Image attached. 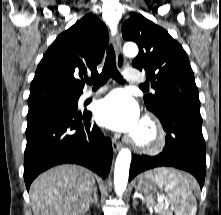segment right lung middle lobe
<instances>
[{
	"instance_id": "right-lung-middle-lobe-1",
	"label": "right lung middle lobe",
	"mask_w": 221,
	"mask_h": 215,
	"mask_svg": "<svg viewBox=\"0 0 221 215\" xmlns=\"http://www.w3.org/2000/svg\"><path fill=\"white\" fill-rule=\"evenodd\" d=\"M77 105H78V99H74V100H68V101L43 105V106L32 107L29 108L27 114V120L31 121L43 114L55 111L77 112Z\"/></svg>"
}]
</instances>
